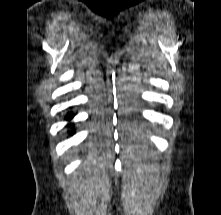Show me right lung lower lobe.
<instances>
[{"mask_svg":"<svg viewBox=\"0 0 221 215\" xmlns=\"http://www.w3.org/2000/svg\"><path fill=\"white\" fill-rule=\"evenodd\" d=\"M72 117H73V115L68 114V115L65 117V119H66V120H70ZM68 126H70V125H68Z\"/></svg>","mask_w":221,"mask_h":215,"instance_id":"right-lung-lower-lobe-1","label":"right lung lower lobe"}]
</instances>
